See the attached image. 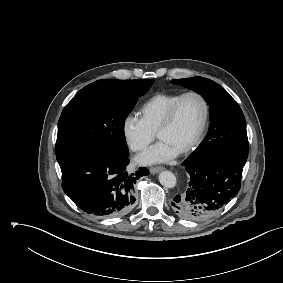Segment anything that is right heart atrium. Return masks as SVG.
I'll return each mask as SVG.
<instances>
[{
  "label": "right heart atrium",
  "mask_w": 283,
  "mask_h": 283,
  "mask_svg": "<svg viewBox=\"0 0 283 283\" xmlns=\"http://www.w3.org/2000/svg\"><path fill=\"white\" fill-rule=\"evenodd\" d=\"M122 134L127 146L133 152L146 149L155 137L143 120L134 114H128L123 119Z\"/></svg>",
  "instance_id": "d8ad5b80"
}]
</instances>
